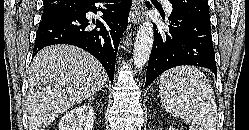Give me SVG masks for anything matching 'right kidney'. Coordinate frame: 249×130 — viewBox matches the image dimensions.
Returning a JSON list of instances; mask_svg holds the SVG:
<instances>
[{
    "instance_id": "ca27d5eb",
    "label": "right kidney",
    "mask_w": 249,
    "mask_h": 130,
    "mask_svg": "<svg viewBox=\"0 0 249 130\" xmlns=\"http://www.w3.org/2000/svg\"><path fill=\"white\" fill-rule=\"evenodd\" d=\"M94 111L85 104L68 111L60 120L59 130H92Z\"/></svg>"
}]
</instances>
